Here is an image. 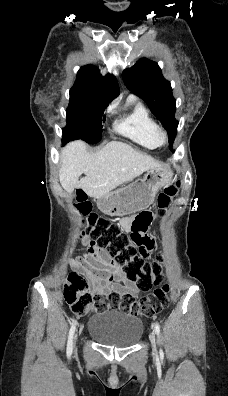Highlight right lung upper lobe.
I'll return each mask as SVG.
<instances>
[{"label":"right lung upper lobe","mask_w":228,"mask_h":396,"mask_svg":"<svg viewBox=\"0 0 228 396\" xmlns=\"http://www.w3.org/2000/svg\"><path fill=\"white\" fill-rule=\"evenodd\" d=\"M70 91L92 94L109 103L119 95V86L113 75L102 76L96 67L86 65L78 71Z\"/></svg>","instance_id":"right-lung-upper-lobe-1"}]
</instances>
